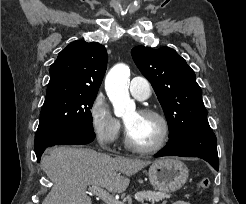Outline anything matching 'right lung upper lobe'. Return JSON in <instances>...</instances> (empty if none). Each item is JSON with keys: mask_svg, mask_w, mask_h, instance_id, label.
Here are the masks:
<instances>
[{"mask_svg": "<svg viewBox=\"0 0 246 204\" xmlns=\"http://www.w3.org/2000/svg\"><path fill=\"white\" fill-rule=\"evenodd\" d=\"M107 67V52L96 42L77 40L50 66L45 101L71 94H96Z\"/></svg>", "mask_w": 246, "mask_h": 204, "instance_id": "1", "label": "right lung upper lobe"}]
</instances>
